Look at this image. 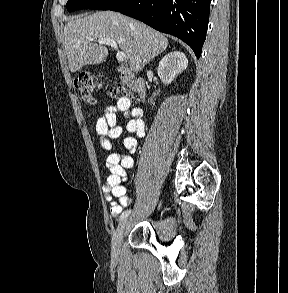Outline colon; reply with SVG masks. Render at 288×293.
Listing matches in <instances>:
<instances>
[{"instance_id": "5ec220e1", "label": "colon", "mask_w": 288, "mask_h": 293, "mask_svg": "<svg viewBox=\"0 0 288 293\" xmlns=\"http://www.w3.org/2000/svg\"><path fill=\"white\" fill-rule=\"evenodd\" d=\"M75 87L81 98L87 102L95 103L98 93L101 91L99 80L90 74H82L75 80ZM107 94L112 98H130L134 99V95L124 86H115L107 90Z\"/></svg>"}]
</instances>
